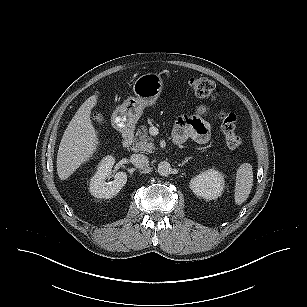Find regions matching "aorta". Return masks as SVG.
Returning <instances> with one entry per match:
<instances>
[{"label":"aorta","instance_id":"1","mask_svg":"<svg viewBox=\"0 0 307 307\" xmlns=\"http://www.w3.org/2000/svg\"><path fill=\"white\" fill-rule=\"evenodd\" d=\"M158 173L161 176H168L171 173V165L166 161L160 162L158 164Z\"/></svg>","mask_w":307,"mask_h":307}]
</instances>
